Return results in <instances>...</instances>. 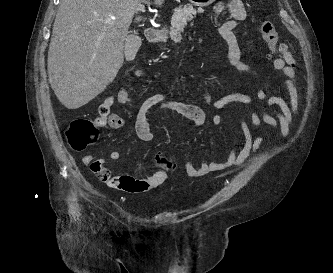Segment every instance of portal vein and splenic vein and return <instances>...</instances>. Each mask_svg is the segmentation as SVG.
<instances>
[{
  "instance_id": "obj_1",
  "label": "portal vein and splenic vein",
  "mask_w": 333,
  "mask_h": 273,
  "mask_svg": "<svg viewBox=\"0 0 333 273\" xmlns=\"http://www.w3.org/2000/svg\"><path fill=\"white\" fill-rule=\"evenodd\" d=\"M144 8H145L144 4H139V5L136 7V11H137V12L144 11Z\"/></svg>"
}]
</instances>
